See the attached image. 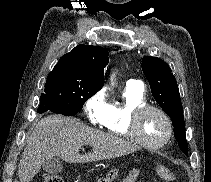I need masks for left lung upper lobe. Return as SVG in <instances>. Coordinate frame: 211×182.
<instances>
[{"mask_svg": "<svg viewBox=\"0 0 211 182\" xmlns=\"http://www.w3.org/2000/svg\"><path fill=\"white\" fill-rule=\"evenodd\" d=\"M141 66L154 99L172 120L174 136L180 149L188 155L183 108L171 68L163 60L151 56H144Z\"/></svg>", "mask_w": 211, "mask_h": 182, "instance_id": "left-lung-upper-lobe-1", "label": "left lung upper lobe"}]
</instances>
